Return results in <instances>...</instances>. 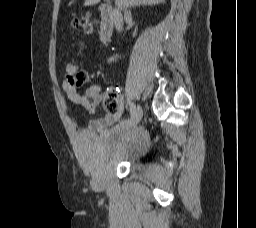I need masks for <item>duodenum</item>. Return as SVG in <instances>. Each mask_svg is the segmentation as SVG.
I'll list each match as a JSON object with an SVG mask.
<instances>
[{
    "label": "duodenum",
    "mask_w": 256,
    "mask_h": 228,
    "mask_svg": "<svg viewBox=\"0 0 256 228\" xmlns=\"http://www.w3.org/2000/svg\"><path fill=\"white\" fill-rule=\"evenodd\" d=\"M102 22L100 27L99 37L103 43L110 41L114 31V12L108 6L104 5L101 7Z\"/></svg>",
    "instance_id": "obj_1"
}]
</instances>
